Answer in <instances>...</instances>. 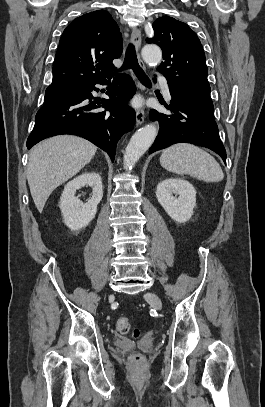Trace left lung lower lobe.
I'll return each instance as SVG.
<instances>
[{
  "mask_svg": "<svg viewBox=\"0 0 265 407\" xmlns=\"http://www.w3.org/2000/svg\"><path fill=\"white\" fill-rule=\"evenodd\" d=\"M167 109L171 114H163L154 109L150 111V120H157L160 130L149 153L186 142L213 150L226 163V150L219 137L214 116L174 97Z\"/></svg>",
  "mask_w": 265,
  "mask_h": 407,
  "instance_id": "obj_1",
  "label": "left lung lower lobe"
}]
</instances>
